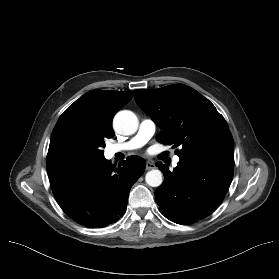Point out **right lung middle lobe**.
<instances>
[{"instance_id": "right-lung-middle-lobe-1", "label": "right lung middle lobe", "mask_w": 279, "mask_h": 279, "mask_svg": "<svg viewBox=\"0 0 279 279\" xmlns=\"http://www.w3.org/2000/svg\"><path fill=\"white\" fill-rule=\"evenodd\" d=\"M103 138L78 127H67L51 137L47 154V171L86 164L104 157Z\"/></svg>"}]
</instances>
